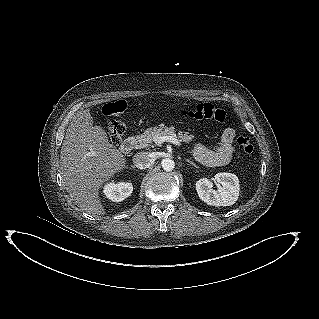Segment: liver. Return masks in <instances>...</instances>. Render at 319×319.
<instances>
[{"instance_id":"liver-1","label":"liver","mask_w":319,"mask_h":319,"mask_svg":"<svg viewBox=\"0 0 319 319\" xmlns=\"http://www.w3.org/2000/svg\"><path fill=\"white\" fill-rule=\"evenodd\" d=\"M125 158L109 143L106 132L93 126L90 109L76 113L71 120L60 153L65 189L80 210L104 215L99 190L125 166Z\"/></svg>"}]
</instances>
